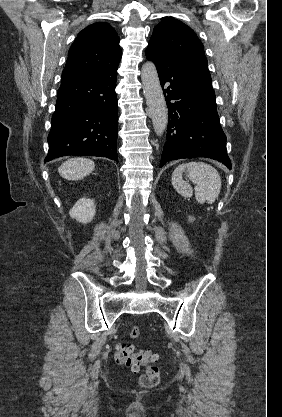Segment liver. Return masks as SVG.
<instances>
[{
	"label": "liver",
	"mask_w": 282,
	"mask_h": 417,
	"mask_svg": "<svg viewBox=\"0 0 282 417\" xmlns=\"http://www.w3.org/2000/svg\"><path fill=\"white\" fill-rule=\"evenodd\" d=\"M95 164L90 158H68L58 168L59 174L67 180H81L94 170Z\"/></svg>",
	"instance_id": "1"
}]
</instances>
